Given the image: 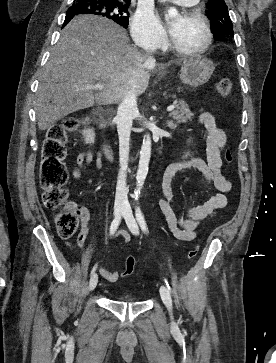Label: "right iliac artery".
<instances>
[{
    "label": "right iliac artery",
    "mask_w": 276,
    "mask_h": 363,
    "mask_svg": "<svg viewBox=\"0 0 276 363\" xmlns=\"http://www.w3.org/2000/svg\"><path fill=\"white\" fill-rule=\"evenodd\" d=\"M120 222H121V215H118L111 223L110 234L115 233V231L117 230ZM95 271H96V266H94L93 269L91 270V276L95 273Z\"/></svg>",
    "instance_id": "82829eb1"
}]
</instances>
